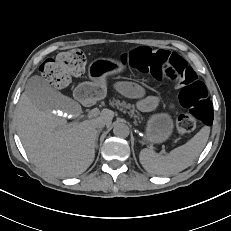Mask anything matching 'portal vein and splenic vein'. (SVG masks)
<instances>
[{
    "label": "portal vein and splenic vein",
    "mask_w": 231,
    "mask_h": 231,
    "mask_svg": "<svg viewBox=\"0 0 231 231\" xmlns=\"http://www.w3.org/2000/svg\"><path fill=\"white\" fill-rule=\"evenodd\" d=\"M100 114V111L98 108H94L92 110L89 111V113L87 114L88 118H92V117H96Z\"/></svg>",
    "instance_id": "1"
}]
</instances>
